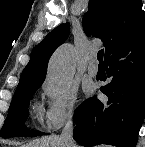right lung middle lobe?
<instances>
[{"instance_id":"obj_1","label":"right lung middle lobe","mask_w":145,"mask_h":147,"mask_svg":"<svg viewBox=\"0 0 145 147\" xmlns=\"http://www.w3.org/2000/svg\"><path fill=\"white\" fill-rule=\"evenodd\" d=\"M40 86H32L24 89L16 90L9 107V112L7 118L4 122L2 129L0 130V135L4 138L6 137H16V136H40L44 135L40 131H29L24 122L28 117V107L29 102L34 95L35 91Z\"/></svg>"}]
</instances>
